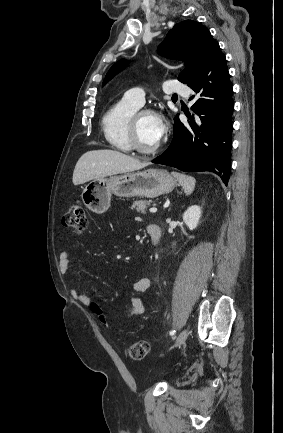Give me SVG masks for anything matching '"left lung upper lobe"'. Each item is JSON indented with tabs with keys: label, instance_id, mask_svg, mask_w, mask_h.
Here are the masks:
<instances>
[{
	"label": "left lung upper lobe",
	"instance_id": "left-lung-upper-lobe-1",
	"mask_svg": "<svg viewBox=\"0 0 283 433\" xmlns=\"http://www.w3.org/2000/svg\"><path fill=\"white\" fill-rule=\"evenodd\" d=\"M217 43L209 30L200 23L186 20L176 24L169 31L163 43L159 46L161 55L184 61L185 69L179 74L178 80L186 83L190 78L197 62L204 56L207 50ZM126 60H120L108 71L103 85L115 74L122 70Z\"/></svg>",
	"mask_w": 283,
	"mask_h": 433
}]
</instances>
